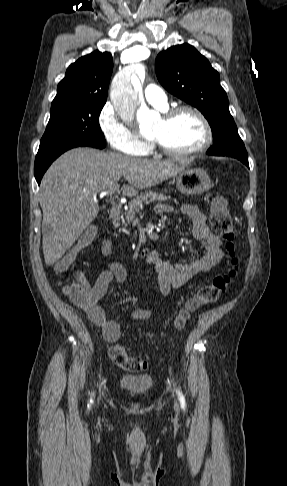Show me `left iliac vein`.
<instances>
[{"label":"left iliac vein","mask_w":287,"mask_h":486,"mask_svg":"<svg viewBox=\"0 0 287 486\" xmlns=\"http://www.w3.org/2000/svg\"><path fill=\"white\" fill-rule=\"evenodd\" d=\"M174 408H175V410H177V409H178L177 404H175V405H174Z\"/></svg>","instance_id":"left-iliac-vein-1"}]
</instances>
